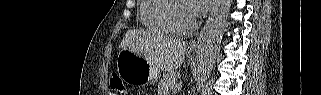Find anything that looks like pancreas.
Returning a JSON list of instances; mask_svg holds the SVG:
<instances>
[{
  "label": "pancreas",
  "instance_id": "cf45deb5",
  "mask_svg": "<svg viewBox=\"0 0 321 95\" xmlns=\"http://www.w3.org/2000/svg\"><path fill=\"white\" fill-rule=\"evenodd\" d=\"M179 78V74L177 72H168L163 75V78L159 81V93L162 95L165 92L173 90L177 88L178 83L177 79Z\"/></svg>",
  "mask_w": 321,
  "mask_h": 95
}]
</instances>
